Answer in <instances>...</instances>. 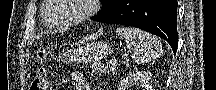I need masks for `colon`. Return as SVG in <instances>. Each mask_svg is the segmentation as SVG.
Listing matches in <instances>:
<instances>
[{
  "mask_svg": "<svg viewBox=\"0 0 216 90\" xmlns=\"http://www.w3.org/2000/svg\"><path fill=\"white\" fill-rule=\"evenodd\" d=\"M40 67L36 71L31 82V90H47L48 89V69L46 66L47 49L41 48L38 52Z\"/></svg>",
  "mask_w": 216,
  "mask_h": 90,
  "instance_id": "colon-1",
  "label": "colon"
}]
</instances>
